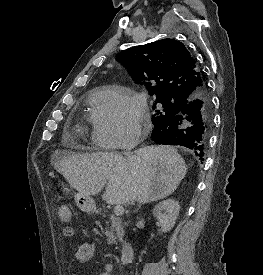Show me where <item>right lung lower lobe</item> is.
Returning a JSON list of instances; mask_svg holds the SVG:
<instances>
[{
    "instance_id": "obj_1",
    "label": "right lung lower lobe",
    "mask_w": 263,
    "mask_h": 275,
    "mask_svg": "<svg viewBox=\"0 0 263 275\" xmlns=\"http://www.w3.org/2000/svg\"><path fill=\"white\" fill-rule=\"evenodd\" d=\"M211 125V99L207 87H204L192 97L181 100L177 113L156 123L152 139L157 144L187 147L202 159Z\"/></svg>"
}]
</instances>
